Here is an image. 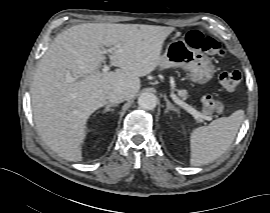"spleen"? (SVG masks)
Returning <instances> with one entry per match:
<instances>
[{
  "label": "spleen",
  "mask_w": 270,
  "mask_h": 213,
  "mask_svg": "<svg viewBox=\"0 0 270 213\" xmlns=\"http://www.w3.org/2000/svg\"><path fill=\"white\" fill-rule=\"evenodd\" d=\"M244 118V111L237 110L228 117L212 121L208 126L191 132L190 148L192 166L213 162L232 144Z\"/></svg>",
  "instance_id": "3e777b00"
}]
</instances>
